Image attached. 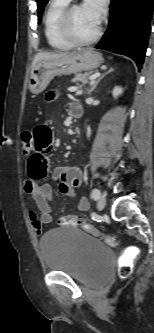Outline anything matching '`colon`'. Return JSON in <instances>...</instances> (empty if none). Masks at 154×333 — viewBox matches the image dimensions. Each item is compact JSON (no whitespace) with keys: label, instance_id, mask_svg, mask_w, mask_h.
<instances>
[{"label":"colon","instance_id":"obj_1","mask_svg":"<svg viewBox=\"0 0 154 333\" xmlns=\"http://www.w3.org/2000/svg\"><path fill=\"white\" fill-rule=\"evenodd\" d=\"M21 146L24 153H29L33 147V136L31 130H24L20 136ZM58 224L60 226L66 225H79L81 226L86 232L96 236L109 246H115L116 240L114 237L101 233L96 227L90 224L87 221L81 220L73 215H67L59 218ZM138 251L136 248H129L126 250L122 261L119 266V274L122 277H127L131 274L133 268V261L137 257Z\"/></svg>","mask_w":154,"mask_h":333}]
</instances>
